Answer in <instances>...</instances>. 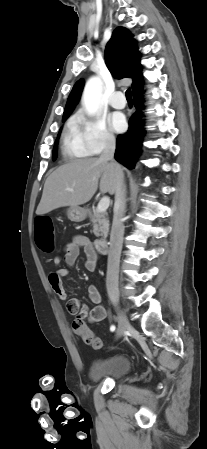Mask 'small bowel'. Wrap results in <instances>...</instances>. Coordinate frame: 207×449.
<instances>
[{"mask_svg": "<svg viewBox=\"0 0 207 449\" xmlns=\"http://www.w3.org/2000/svg\"><path fill=\"white\" fill-rule=\"evenodd\" d=\"M83 250L85 255V268L88 271H94L97 268L98 254L93 248L90 239L85 235H75L70 241L64 245V256H57L53 259L56 270L49 274L48 280L53 292L61 299L67 302L66 309L69 314L77 316L82 320L90 322H99L105 319L106 310L101 305V295L95 285H89L88 297L94 304L92 309L82 304L76 298H68V292L63 284V278L69 274L68 268L61 267L62 262L68 267L74 266L80 251Z\"/></svg>", "mask_w": 207, "mask_h": 449, "instance_id": "1", "label": "small bowel"}]
</instances>
